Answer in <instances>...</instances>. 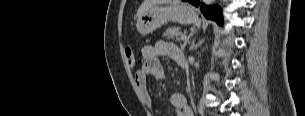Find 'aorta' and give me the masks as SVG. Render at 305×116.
<instances>
[{
	"label": "aorta",
	"instance_id": "aorta-1",
	"mask_svg": "<svg viewBox=\"0 0 305 116\" xmlns=\"http://www.w3.org/2000/svg\"><path fill=\"white\" fill-rule=\"evenodd\" d=\"M204 2H205V4L209 5L213 2V0H205Z\"/></svg>",
	"mask_w": 305,
	"mask_h": 116
}]
</instances>
